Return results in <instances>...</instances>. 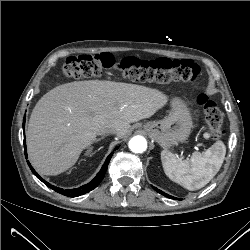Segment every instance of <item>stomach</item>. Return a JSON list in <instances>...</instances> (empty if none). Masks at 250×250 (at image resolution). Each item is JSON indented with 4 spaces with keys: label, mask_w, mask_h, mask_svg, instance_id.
I'll use <instances>...</instances> for the list:
<instances>
[{
    "label": "stomach",
    "mask_w": 250,
    "mask_h": 250,
    "mask_svg": "<svg viewBox=\"0 0 250 250\" xmlns=\"http://www.w3.org/2000/svg\"><path fill=\"white\" fill-rule=\"evenodd\" d=\"M171 105L172 109L167 117L143 126L147 134L163 148L185 141L193 124L190 110L183 100L176 98Z\"/></svg>",
    "instance_id": "stomach-1"
}]
</instances>
